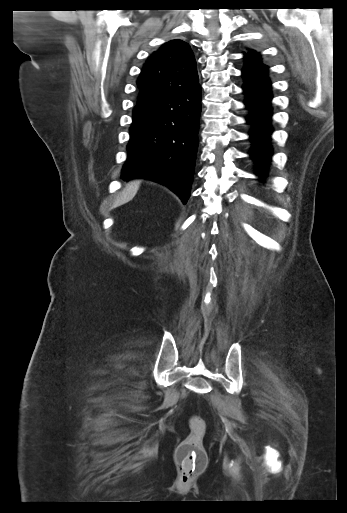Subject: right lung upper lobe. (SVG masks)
I'll list each match as a JSON object with an SVG mask.
<instances>
[{
    "label": "right lung upper lobe",
    "mask_w": 347,
    "mask_h": 513,
    "mask_svg": "<svg viewBox=\"0 0 347 513\" xmlns=\"http://www.w3.org/2000/svg\"><path fill=\"white\" fill-rule=\"evenodd\" d=\"M137 85L138 102L166 98L199 86L190 46L181 40L165 43L148 58Z\"/></svg>",
    "instance_id": "obj_1"
}]
</instances>
